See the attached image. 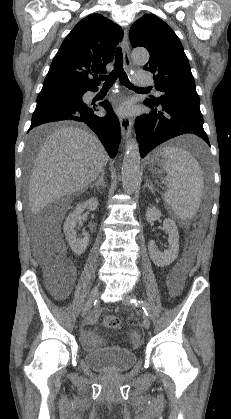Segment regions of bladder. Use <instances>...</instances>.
I'll return each mask as SVG.
<instances>
[{"label":"bladder","mask_w":231,"mask_h":419,"mask_svg":"<svg viewBox=\"0 0 231 419\" xmlns=\"http://www.w3.org/2000/svg\"><path fill=\"white\" fill-rule=\"evenodd\" d=\"M86 366L100 373H122L132 368L137 354L120 346H109L87 352L83 356Z\"/></svg>","instance_id":"1"}]
</instances>
